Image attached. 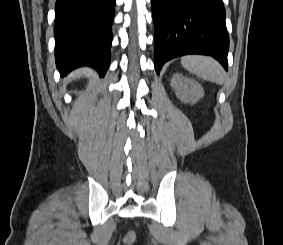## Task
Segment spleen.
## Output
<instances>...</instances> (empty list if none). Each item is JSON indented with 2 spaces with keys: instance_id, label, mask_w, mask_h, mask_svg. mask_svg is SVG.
<instances>
[{
  "instance_id": "obj_1",
  "label": "spleen",
  "mask_w": 283,
  "mask_h": 245,
  "mask_svg": "<svg viewBox=\"0 0 283 245\" xmlns=\"http://www.w3.org/2000/svg\"><path fill=\"white\" fill-rule=\"evenodd\" d=\"M182 66L189 72L202 79L214 82L218 85L224 83V71L222 66L213 58L200 55H188L181 59Z\"/></svg>"
}]
</instances>
